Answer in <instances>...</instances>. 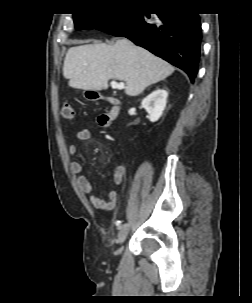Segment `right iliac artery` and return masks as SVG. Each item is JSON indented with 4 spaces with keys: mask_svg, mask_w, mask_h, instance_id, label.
I'll return each mask as SVG.
<instances>
[{
    "mask_svg": "<svg viewBox=\"0 0 252 303\" xmlns=\"http://www.w3.org/2000/svg\"><path fill=\"white\" fill-rule=\"evenodd\" d=\"M116 224H117V225H120V224H121V221H116Z\"/></svg>",
    "mask_w": 252,
    "mask_h": 303,
    "instance_id": "82829eb1",
    "label": "right iliac artery"
}]
</instances>
